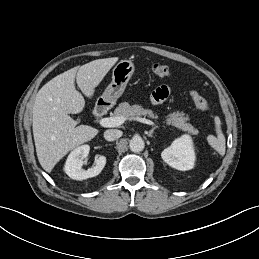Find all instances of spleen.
I'll list each match as a JSON object with an SVG mask.
<instances>
[{
	"mask_svg": "<svg viewBox=\"0 0 259 259\" xmlns=\"http://www.w3.org/2000/svg\"><path fill=\"white\" fill-rule=\"evenodd\" d=\"M217 137H211L210 145L221 155L225 154V137L221 131L220 124L216 126Z\"/></svg>",
	"mask_w": 259,
	"mask_h": 259,
	"instance_id": "spleen-1",
	"label": "spleen"
}]
</instances>
